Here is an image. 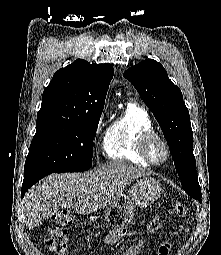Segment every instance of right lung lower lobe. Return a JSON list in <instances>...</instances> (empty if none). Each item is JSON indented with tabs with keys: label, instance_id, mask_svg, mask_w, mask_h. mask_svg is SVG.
Returning a JSON list of instances; mask_svg holds the SVG:
<instances>
[{
	"label": "right lung lower lobe",
	"instance_id": "obj_1",
	"mask_svg": "<svg viewBox=\"0 0 221 255\" xmlns=\"http://www.w3.org/2000/svg\"><path fill=\"white\" fill-rule=\"evenodd\" d=\"M51 173L49 172H39V171H34V172H30L27 174H24V180H23V184H22V197L25 195V192L32 186L34 185L36 182H38L40 179H42L43 177L49 175Z\"/></svg>",
	"mask_w": 221,
	"mask_h": 255
}]
</instances>
